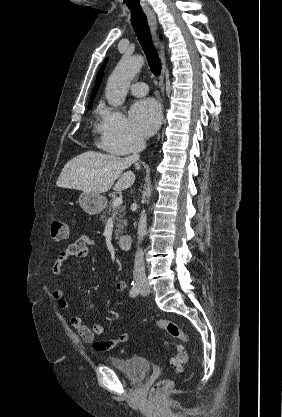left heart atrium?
<instances>
[{"label":"left heart atrium","instance_id":"39dd6f15","mask_svg":"<svg viewBox=\"0 0 282 417\" xmlns=\"http://www.w3.org/2000/svg\"><path fill=\"white\" fill-rule=\"evenodd\" d=\"M161 118L159 104L152 99L135 103L130 110V123L139 133L147 135L158 126Z\"/></svg>","mask_w":282,"mask_h":417}]
</instances>
